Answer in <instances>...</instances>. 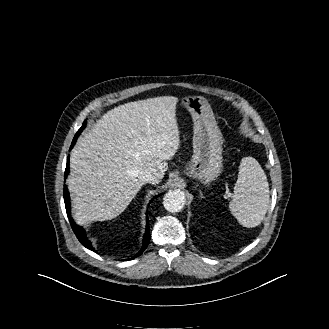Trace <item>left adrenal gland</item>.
I'll list each match as a JSON object with an SVG mask.
<instances>
[{
    "mask_svg": "<svg viewBox=\"0 0 329 329\" xmlns=\"http://www.w3.org/2000/svg\"><path fill=\"white\" fill-rule=\"evenodd\" d=\"M199 193H200V198H204L203 193H202L201 190H199Z\"/></svg>",
    "mask_w": 329,
    "mask_h": 329,
    "instance_id": "left-adrenal-gland-1",
    "label": "left adrenal gland"
}]
</instances>
